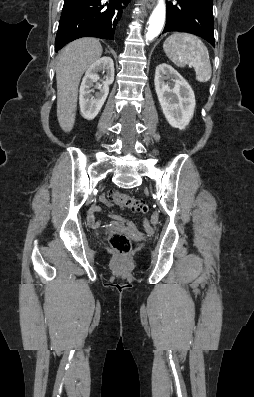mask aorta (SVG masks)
I'll use <instances>...</instances> for the list:
<instances>
[{
    "mask_svg": "<svg viewBox=\"0 0 254 397\" xmlns=\"http://www.w3.org/2000/svg\"><path fill=\"white\" fill-rule=\"evenodd\" d=\"M166 7L164 0H159L157 6L154 8L150 18L149 26L146 33V40H153L159 35L165 21Z\"/></svg>",
    "mask_w": 254,
    "mask_h": 397,
    "instance_id": "aorta-1",
    "label": "aorta"
}]
</instances>
